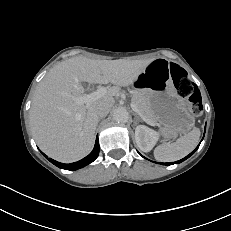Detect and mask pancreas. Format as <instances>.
<instances>
[{"mask_svg":"<svg viewBox=\"0 0 231 231\" xmlns=\"http://www.w3.org/2000/svg\"><path fill=\"white\" fill-rule=\"evenodd\" d=\"M132 102L136 104L141 114L148 120L156 122V118L151 110V107L147 100L138 92H134L132 96Z\"/></svg>","mask_w":231,"mask_h":231,"instance_id":"pancreas-1","label":"pancreas"}]
</instances>
